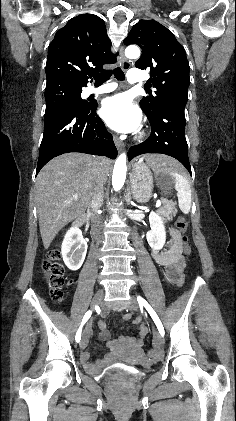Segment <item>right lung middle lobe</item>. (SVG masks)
<instances>
[{"mask_svg":"<svg viewBox=\"0 0 236 421\" xmlns=\"http://www.w3.org/2000/svg\"><path fill=\"white\" fill-rule=\"evenodd\" d=\"M82 88L71 86L50 85L45 89L46 111L67 106L70 108H83L87 104L81 98Z\"/></svg>","mask_w":236,"mask_h":421,"instance_id":"right-lung-middle-lobe-1","label":"right lung middle lobe"}]
</instances>
